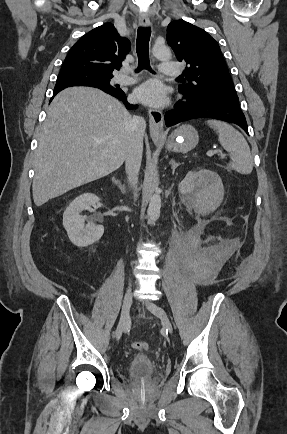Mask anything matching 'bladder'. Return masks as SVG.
Returning <instances> with one entry per match:
<instances>
[{"instance_id": "obj_1", "label": "bladder", "mask_w": 287, "mask_h": 434, "mask_svg": "<svg viewBox=\"0 0 287 434\" xmlns=\"http://www.w3.org/2000/svg\"><path fill=\"white\" fill-rule=\"evenodd\" d=\"M156 372V364L150 356L139 354L127 364L126 373L131 378L148 377Z\"/></svg>"}]
</instances>
